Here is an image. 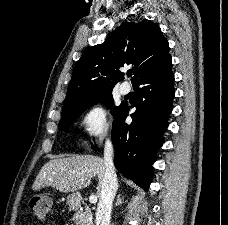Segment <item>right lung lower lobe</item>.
Instances as JSON below:
<instances>
[{"label":"right lung lower lobe","mask_w":228,"mask_h":225,"mask_svg":"<svg viewBox=\"0 0 228 225\" xmlns=\"http://www.w3.org/2000/svg\"><path fill=\"white\" fill-rule=\"evenodd\" d=\"M171 65L172 58L168 54L138 79L134 85L136 110L130 115V125L125 123L129 113L126 105L113 121L114 164L122 175L145 191L152 182V164L156 161L157 149L162 146V134L172 110L175 91Z\"/></svg>","instance_id":"right-lung-lower-lobe-1"}]
</instances>
